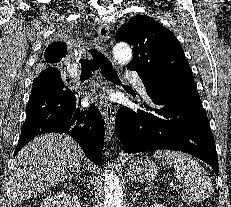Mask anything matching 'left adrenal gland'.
Here are the masks:
<instances>
[{
	"label": "left adrenal gland",
	"instance_id": "left-adrenal-gland-1",
	"mask_svg": "<svg viewBox=\"0 0 231 207\" xmlns=\"http://www.w3.org/2000/svg\"><path fill=\"white\" fill-rule=\"evenodd\" d=\"M135 189H136V188H135ZM137 195H139V193H137L136 190H134L133 195H132L133 201H135Z\"/></svg>",
	"mask_w": 231,
	"mask_h": 207
}]
</instances>
